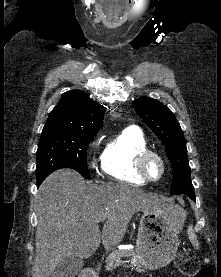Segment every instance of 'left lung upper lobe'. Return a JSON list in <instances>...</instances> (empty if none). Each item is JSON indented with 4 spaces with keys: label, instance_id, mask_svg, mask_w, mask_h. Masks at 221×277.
I'll use <instances>...</instances> for the list:
<instances>
[{
    "label": "left lung upper lobe",
    "instance_id": "1",
    "mask_svg": "<svg viewBox=\"0 0 221 277\" xmlns=\"http://www.w3.org/2000/svg\"><path fill=\"white\" fill-rule=\"evenodd\" d=\"M132 105L166 147L173 172L171 194L193 192L185 138L174 114L158 100L148 97L136 100Z\"/></svg>",
    "mask_w": 221,
    "mask_h": 277
}]
</instances>
